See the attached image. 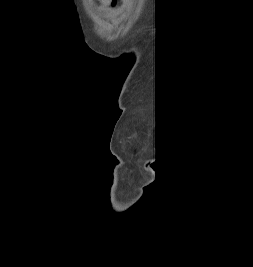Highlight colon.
I'll use <instances>...</instances> for the list:
<instances>
[{"instance_id":"5ec220e1","label":"colon","mask_w":253,"mask_h":267,"mask_svg":"<svg viewBox=\"0 0 253 267\" xmlns=\"http://www.w3.org/2000/svg\"><path fill=\"white\" fill-rule=\"evenodd\" d=\"M103 2H104L105 4H112V5H115V4L117 3L116 0L113 1V2H111V0H103Z\"/></svg>"}]
</instances>
